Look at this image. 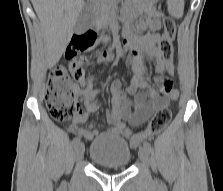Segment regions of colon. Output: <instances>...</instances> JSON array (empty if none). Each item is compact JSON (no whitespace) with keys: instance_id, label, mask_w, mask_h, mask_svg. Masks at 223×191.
<instances>
[{"instance_id":"obj_1","label":"colon","mask_w":223,"mask_h":191,"mask_svg":"<svg viewBox=\"0 0 223 191\" xmlns=\"http://www.w3.org/2000/svg\"><path fill=\"white\" fill-rule=\"evenodd\" d=\"M163 24L164 31L158 40V50L165 61L163 63L164 73H173L176 69V59L172 56L171 41L176 33V23L173 18L166 17ZM95 40L94 32L75 35L65 50L66 58L72 59L69 64V72L66 68L59 66L53 69L50 74L46 90V105L52 118L56 121H68L78 114L75 83H82L86 79L85 58L78 56L91 47ZM170 118V110L162 107L155 112L144 130L133 133L124 129L122 132L128 137L132 148H139L144 140L159 134L168 124Z\"/></svg>"}]
</instances>
